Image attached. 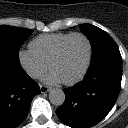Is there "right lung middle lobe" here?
Masks as SVG:
<instances>
[{"mask_svg": "<svg viewBox=\"0 0 128 128\" xmlns=\"http://www.w3.org/2000/svg\"><path fill=\"white\" fill-rule=\"evenodd\" d=\"M33 30L21 27L0 25V62L13 67H21L19 48Z\"/></svg>", "mask_w": 128, "mask_h": 128, "instance_id": "obj_1", "label": "right lung middle lobe"}]
</instances>
